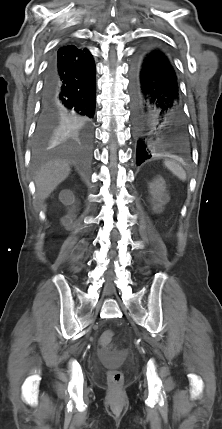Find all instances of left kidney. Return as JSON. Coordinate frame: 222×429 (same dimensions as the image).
Here are the masks:
<instances>
[{
    "mask_svg": "<svg viewBox=\"0 0 222 429\" xmlns=\"http://www.w3.org/2000/svg\"><path fill=\"white\" fill-rule=\"evenodd\" d=\"M150 194L152 196L153 211L160 213L163 206L169 202V196L166 193V184L162 177H157L149 184Z\"/></svg>",
    "mask_w": 222,
    "mask_h": 429,
    "instance_id": "1",
    "label": "left kidney"
}]
</instances>
